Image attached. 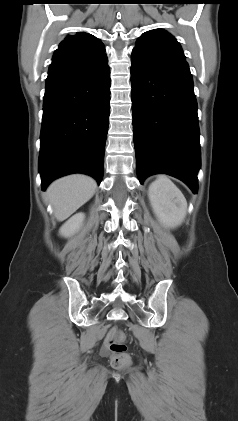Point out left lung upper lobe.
Listing matches in <instances>:
<instances>
[{"label": "left lung upper lobe", "instance_id": "left-lung-upper-lobe-1", "mask_svg": "<svg viewBox=\"0 0 238 421\" xmlns=\"http://www.w3.org/2000/svg\"><path fill=\"white\" fill-rule=\"evenodd\" d=\"M133 51L148 56L182 55L180 44L168 32L155 29L141 35Z\"/></svg>", "mask_w": 238, "mask_h": 421}]
</instances>
